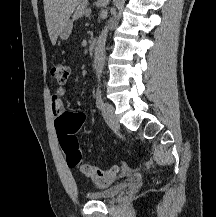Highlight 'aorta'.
Instances as JSON below:
<instances>
[{"instance_id":"1","label":"aorta","mask_w":216,"mask_h":217,"mask_svg":"<svg viewBox=\"0 0 216 217\" xmlns=\"http://www.w3.org/2000/svg\"><path fill=\"white\" fill-rule=\"evenodd\" d=\"M113 1L116 2V0ZM110 13L111 15H114L115 8H111ZM111 21H112L111 19L108 21L107 25L102 30L96 42L95 53H94V69L98 77L101 76L104 68L105 45H106L109 25Z\"/></svg>"}]
</instances>
